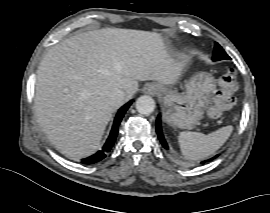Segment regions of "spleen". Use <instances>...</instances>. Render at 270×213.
I'll return each instance as SVG.
<instances>
[{"label": "spleen", "mask_w": 270, "mask_h": 213, "mask_svg": "<svg viewBox=\"0 0 270 213\" xmlns=\"http://www.w3.org/2000/svg\"><path fill=\"white\" fill-rule=\"evenodd\" d=\"M232 131L233 127L229 125L208 135L197 132H181L178 136L181 152L190 160L205 159L227 141Z\"/></svg>", "instance_id": "obj_1"}]
</instances>
